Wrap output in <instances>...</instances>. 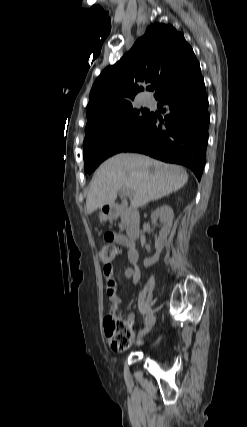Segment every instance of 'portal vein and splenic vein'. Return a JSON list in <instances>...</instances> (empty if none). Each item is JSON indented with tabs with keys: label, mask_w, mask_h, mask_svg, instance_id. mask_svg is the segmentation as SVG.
Wrapping results in <instances>:
<instances>
[{
	"label": "portal vein and splenic vein",
	"mask_w": 247,
	"mask_h": 427,
	"mask_svg": "<svg viewBox=\"0 0 247 427\" xmlns=\"http://www.w3.org/2000/svg\"><path fill=\"white\" fill-rule=\"evenodd\" d=\"M122 193H123L124 195H126V196H131V195H132V192H131V191H129V190H122Z\"/></svg>",
	"instance_id": "obj_1"
}]
</instances>
